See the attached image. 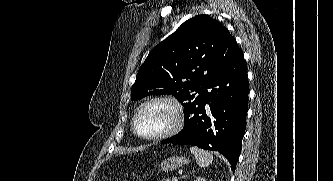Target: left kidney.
<instances>
[{
  "mask_svg": "<svg viewBox=\"0 0 333 181\" xmlns=\"http://www.w3.org/2000/svg\"><path fill=\"white\" fill-rule=\"evenodd\" d=\"M194 181H206V179H205L204 177H198V178H196V180H194Z\"/></svg>",
  "mask_w": 333,
  "mask_h": 181,
  "instance_id": "obj_1",
  "label": "left kidney"
}]
</instances>
